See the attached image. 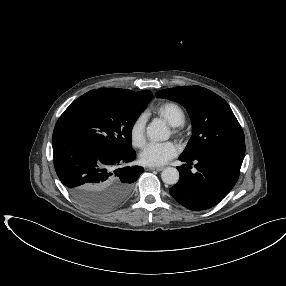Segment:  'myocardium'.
I'll return each instance as SVG.
<instances>
[{
    "mask_svg": "<svg viewBox=\"0 0 286 286\" xmlns=\"http://www.w3.org/2000/svg\"><path fill=\"white\" fill-rule=\"evenodd\" d=\"M172 134L175 136H181L182 134L181 126H172Z\"/></svg>",
    "mask_w": 286,
    "mask_h": 286,
    "instance_id": "f54148a6",
    "label": "myocardium"
}]
</instances>
